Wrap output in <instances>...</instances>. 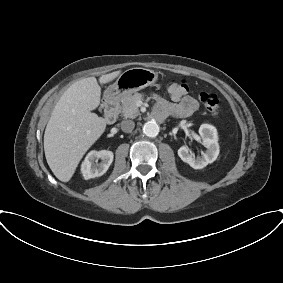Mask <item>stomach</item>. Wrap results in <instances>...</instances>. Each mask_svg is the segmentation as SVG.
Returning <instances> with one entry per match:
<instances>
[{"label":"stomach","instance_id":"0dacf381","mask_svg":"<svg viewBox=\"0 0 283 283\" xmlns=\"http://www.w3.org/2000/svg\"><path fill=\"white\" fill-rule=\"evenodd\" d=\"M156 72L146 68H131L124 71L116 82L108 88V94L115 98H123L128 94L140 91L157 81Z\"/></svg>","mask_w":283,"mask_h":283}]
</instances>
